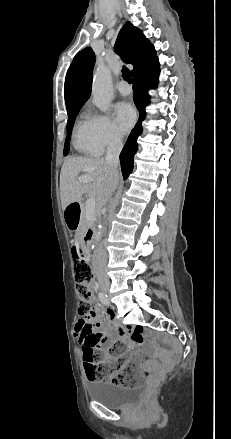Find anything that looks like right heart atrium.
I'll list each match as a JSON object with an SVG mask.
<instances>
[{
  "mask_svg": "<svg viewBox=\"0 0 231 439\" xmlns=\"http://www.w3.org/2000/svg\"><path fill=\"white\" fill-rule=\"evenodd\" d=\"M88 127L89 138L99 153L122 144V136L108 115L92 112Z\"/></svg>",
  "mask_w": 231,
  "mask_h": 439,
  "instance_id": "right-heart-atrium-1",
  "label": "right heart atrium"
}]
</instances>
